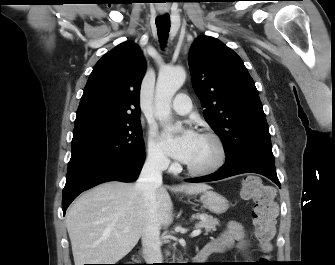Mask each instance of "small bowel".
<instances>
[{"instance_id":"small-bowel-1","label":"small bowel","mask_w":335,"mask_h":265,"mask_svg":"<svg viewBox=\"0 0 335 265\" xmlns=\"http://www.w3.org/2000/svg\"><path fill=\"white\" fill-rule=\"evenodd\" d=\"M237 242V248L243 253L247 252L248 241L246 233L241 224L231 221L222 234L214 241L208 243L217 249L216 252H224L234 247Z\"/></svg>"}]
</instances>
